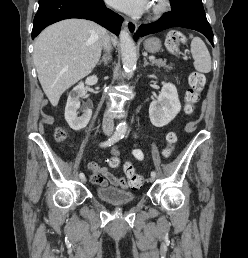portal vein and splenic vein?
<instances>
[{
	"mask_svg": "<svg viewBox=\"0 0 248 258\" xmlns=\"http://www.w3.org/2000/svg\"><path fill=\"white\" fill-rule=\"evenodd\" d=\"M149 60L153 61V60H155V57L154 56H150Z\"/></svg>",
	"mask_w": 248,
	"mask_h": 258,
	"instance_id": "1",
	"label": "portal vein and splenic vein"
}]
</instances>
